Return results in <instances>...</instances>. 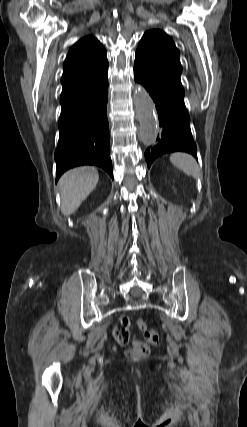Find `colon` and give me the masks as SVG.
<instances>
[{
	"mask_svg": "<svg viewBox=\"0 0 247 427\" xmlns=\"http://www.w3.org/2000/svg\"><path fill=\"white\" fill-rule=\"evenodd\" d=\"M138 326L143 332L146 342L134 341L130 349L127 350L129 356L135 357H145L150 353V347L148 345H156L159 342L160 336L159 333L151 328H148L142 320H138Z\"/></svg>",
	"mask_w": 247,
	"mask_h": 427,
	"instance_id": "5ec220e1",
	"label": "colon"
}]
</instances>
